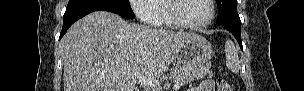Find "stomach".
Wrapping results in <instances>:
<instances>
[{
	"mask_svg": "<svg viewBox=\"0 0 304 91\" xmlns=\"http://www.w3.org/2000/svg\"><path fill=\"white\" fill-rule=\"evenodd\" d=\"M212 56L210 43L201 36L189 38L175 51V59L180 64L191 68L203 67Z\"/></svg>",
	"mask_w": 304,
	"mask_h": 91,
	"instance_id": "obj_1",
	"label": "stomach"
}]
</instances>
